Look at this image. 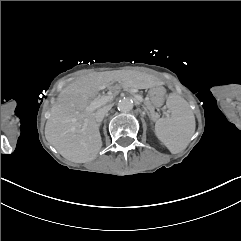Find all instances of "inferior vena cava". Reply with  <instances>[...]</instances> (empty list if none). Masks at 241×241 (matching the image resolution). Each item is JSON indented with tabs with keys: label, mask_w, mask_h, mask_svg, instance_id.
<instances>
[{
	"label": "inferior vena cava",
	"mask_w": 241,
	"mask_h": 241,
	"mask_svg": "<svg viewBox=\"0 0 241 241\" xmlns=\"http://www.w3.org/2000/svg\"><path fill=\"white\" fill-rule=\"evenodd\" d=\"M112 105H107L99 110L96 111L95 119L96 122L100 123L103 121L105 115L108 113V111L111 109Z\"/></svg>",
	"instance_id": "obj_1"
}]
</instances>
